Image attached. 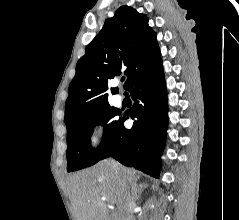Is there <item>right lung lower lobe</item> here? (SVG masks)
<instances>
[{"label":"right lung lower lobe","mask_w":239,"mask_h":220,"mask_svg":"<svg viewBox=\"0 0 239 220\" xmlns=\"http://www.w3.org/2000/svg\"><path fill=\"white\" fill-rule=\"evenodd\" d=\"M127 90L133 107L119 119L113 138L99 161L112 156L120 163L158 177L168 126L166 83L162 60L136 77ZM136 119L131 129L123 122Z\"/></svg>","instance_id":"obj_1"}]
</instances>
